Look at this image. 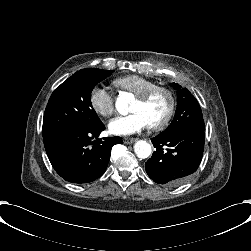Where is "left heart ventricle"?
Listing matches in <instances>:
<instances>
[{"label":"left heart ventricle","mask_w":251,"mask_h":251,"mask_svg":"<svg viewBox=\"0 0 251 251\" xmlns=\"http://www.w3.org/2000/svg\"><path fill=\"white\" fill-rule=\"evenodd\" d=\"M170 106V97L165 91H158L151 100L143 102L136 99L132 110H141L148 117L150 124L161 120L167 113Z\"/></svg>","instance_id":"left-heart-ventricle-1"}]
</instances>
